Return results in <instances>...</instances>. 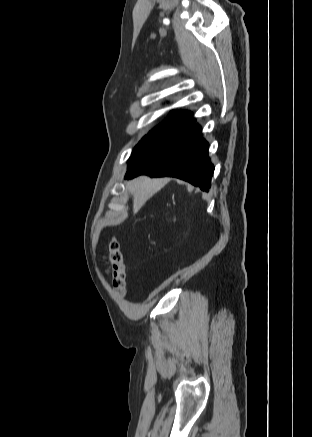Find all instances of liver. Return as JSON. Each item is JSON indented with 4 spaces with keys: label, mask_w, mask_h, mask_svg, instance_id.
<instances>
[{
    "label": "liver",
    "mask_w": 312,
    "mask_h": 437,
    "mask_svg": "<svg viewBox=\"0 0 312 437\" xmlns=\"http://www.w3.org/2000/svg\"><path fill=\"white\" fill-rule=\"evenodd\" d=\"M169 178L138 177L128 184L130 193L133 195V213H137L146 201L161 190Z\"/></svg>",
    "instance_id": "1"
}]
</instances>
